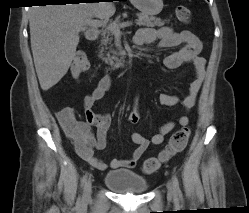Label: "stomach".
Returning a JSON list of instances; mask_svg holds the SVG:
<instances>
[{"label": "stomach", "instance_id": "obj_1", "mask_svg": "<svg viewBox=\"0 0 249 213\" xmlns=\"http://www.w3.org/2000/svg\"><path fill=\"white\" fill-rule=\"evenodd\" d=\"M132 4L143 14L153 16L161 12L163 0H131Z\"/></svg>", "mask_w": 249, "mask_h": 213}]
</instances>
